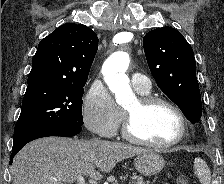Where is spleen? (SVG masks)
Wrapping results in <instances>:
<instances>
[{"mask_svg":"<svg viewBox=\"0 0 224 184\" xmlns=\"http://www.w3.org/2000/svg\"><path fill=\"white\" fill-rule=\"evenodd\" d=\"M194 174L199 179L201 184H210L211 183V173L206 162L197 157L194 160Z\"/></svg>","mask_w":224,"mask_h":184,"instance_id":"3e777b00","label":"spleen"}]
</instances>
